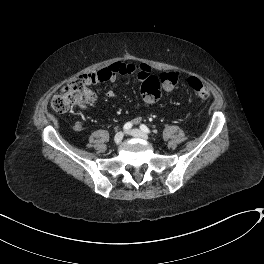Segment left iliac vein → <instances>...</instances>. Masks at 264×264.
I'll return each instance as SVG.
<instances>
[{
	"label": "left iliac vein",
	"mask_w": 264,
	"mask_h": 264,
	"mask_svg": "<svg viewBox=\"0 0 264 264\" xmlns=\"http://www.w3.org/2000/svg\"><path fill=\"white\" fill-rule=\"evenodd\" d=\"M128 134L132 135L133 137L142 138L144 140H148L149 139L148 135L145 132H143V131H141L139 129L129 130Z\"/></svg>",
	"instance_id": "4c4485c4"
}]
</instances>
